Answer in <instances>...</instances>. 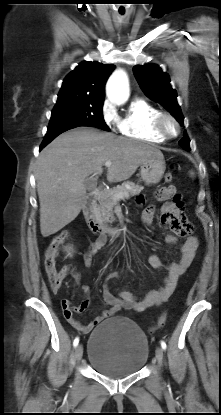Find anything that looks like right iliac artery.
<instances>
[{"label":"right iliac artery","instance_id":"1","mask_svg":"<svg viewBox=\"0 0 221 415\" xmlns=\"http://www.w3.org/2000/svg\"><path fill=\"white\" fill-rule=\"evenodd\" d=\"M78 343H79V338H78V337H76V338L74 339V341H73V345H74V347H76V346L78 345Z\"/></svg>","mask_w":221,"mask_h":415}]
</instances>
